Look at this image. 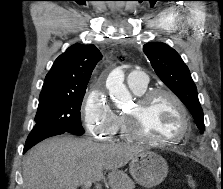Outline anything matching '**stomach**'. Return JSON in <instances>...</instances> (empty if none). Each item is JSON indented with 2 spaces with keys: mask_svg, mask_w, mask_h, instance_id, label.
<instances>
[{
  "mask_svg": "<svg viewBox=\"0 0 223 189\" xmlns=\"http://www.w3.org/2000/svg\"><path fill=\"white\" fill-rule=\"evenodd\" d=\"M129 171L138 184L152 188L160 184L167 176L168 165L160 155L143 151L132 158Z\"/></svg>",
  "mask_w": 223,
  "mask_h": 189,
  "instance_id": "obj_1",
  "label": "stomach"
}]
</instances>
